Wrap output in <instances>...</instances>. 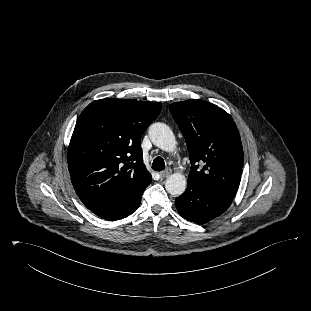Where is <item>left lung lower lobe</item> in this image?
<instances>
[{
    "mask_svg": "<svg viewBox=\"0 0 311 311\" xmlns=\"http://www.w3.org/2000/svg\"><path fill=\"white\" fill-rule=\"evenodd\" d=\"M232 200L195 180L188 179L186 191L176 198L175 204L183 218L203 224L224 213L231 205Z\"/></svg>",
    "mask_w": 311,
    "mask_h": 311,
    "instance_id": "obj_1",
    "label": "left lung lower lobe"
}]
</instances>
